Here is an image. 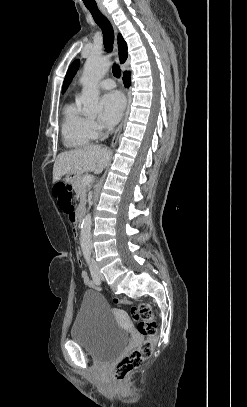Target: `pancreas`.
<instances>
[{
    "mask_svg": "<svg viewBox=\"0 0 247 407\" xmlns=\"http://www.w3.org/2000/svg\"><path fill=\"white\" fill-rule=\"evenodd\" d=\"M73 189L77 193L78 197L80 198L79 207L84 206L86 204V193L88 191V185L83 183V177L79 176L75 179L72 183Z\"/></svg>",
    "mask_w": 247,
    "mask_h": 407,
    "instance_id": "cf45deb5",
    "label": "pancreas"
}]
</instances>
